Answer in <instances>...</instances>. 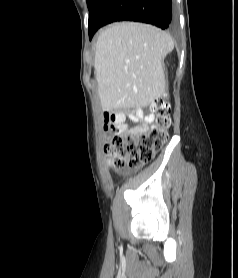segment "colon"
<instances>
[{
	"mask_svg": "<svg viewBox=\"0 0 238 278\" xmlns=\"http://www.w3.org/2000/svg\"><path fill=\"white\" fill-rule=\"evenodd\" d=\"M155 122L146 129L116 132L106 145L110 165L117 170L139 168L150 162L168 139L171 126V107L165 98L152 107Z\"/></svg>",
	"mask_w": 238,
	"mask_h": 278,
	"instance_id": "colon-1",
	"label": "colon"
}]
</instances>
